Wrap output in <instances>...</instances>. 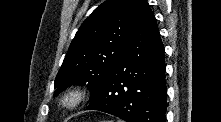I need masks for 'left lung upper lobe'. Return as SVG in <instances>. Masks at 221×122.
Masks as SVG:
<instances>
[{
  "label": "left lung upper lobe",
  "instance_id": "left-lung-upper-lobe-1",
  "mask_svg": "<svg viewBox=\"0 0 221 122\" xmlns=\"http://www.w3.org/2000/svg\"><path fill=\"white\" fill-rule=\"evenodd\" d=\"M141 0H106L78 29L55 79V96L85 85L97 98L131 34Z\"/></svg>",
  "mask_w": 221,
  "mask_h": 122
}]
</instances>
